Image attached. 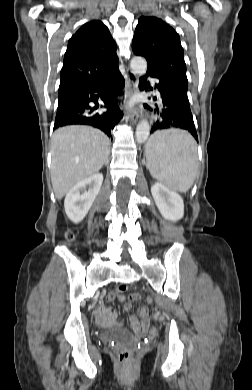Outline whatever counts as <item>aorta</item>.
<instances>
[{
	"mask_svg": "<svg viewBox=\"0 0 252 390\" xmlns=\"http://www.w3.org/2000/svg\"><path fill=\"white\" fill-rule=\"evenodd\" d=\"M130 67L134 74L144 75L147 71V62L143 57H133ZM150 134V125L147 120H142L136 127V140L138 143H144Z\"/></svg>",
	"mask_w": 252,
	"mask_h": 390,
	"instance_id": "762f6f07",
	"label": "aorta"
}]
</instances>
